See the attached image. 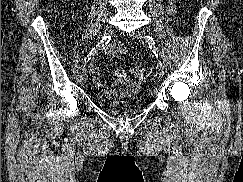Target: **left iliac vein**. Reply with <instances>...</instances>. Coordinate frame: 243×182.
Wrapping results in <instances>:
<instances>
[{"instance_id":"4c4485c4","label":"left iliac vein","mask_w":243,"mask_h":182,"mask_svg":"<svg viewBox=\"0 0 243 182\" xmlns=\"http://www.w3.org/2000/svg\"><path fill=\"white\" fill-rule=\"evenodd\" d=\"M130 36L133 38V39H137V40H143L145 39V36L139 32V31H134L130 34ZM163 72V63L162 61H158L157 63V66H156V72H155V76L156 77H160L161 74Z\"/></svg>"}]
</instances>
